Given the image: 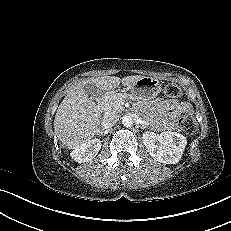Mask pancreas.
<instances>
[{
    "instance_id": "obj_1",
    "label": "pancreas",
    "mask_w": 231,
    "mask_h": 231,
    "mask_svg": "<svg viewBox=\"0 0 231 231\" xmlns=\"http://www.w3.org/2000/svg\"><path fill=\"white\" fill-rule=\"evenodd\" d=\"M129 95L125 93H115L105 96L101 103V109L105 114L120 113L124 110L123 103Z\"/></svg>"
}]
</instances>
